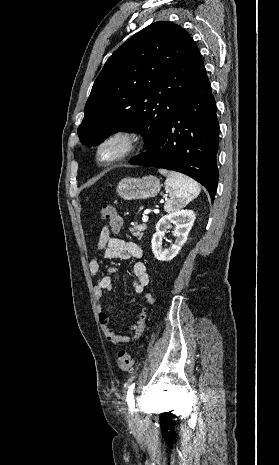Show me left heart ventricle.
Masks as SVG:
<instances>
[{
  "label": "left heart ventricle",
  "instance_id": "obj_1",
  "mask_svg": "<svg viewBox=\"0 0 279 465\" xmlns=\"http://www.w3.org/2000/svg\"><path fill=\"white\" fill-rule=\"evenodd\" d=\"M121 149V143L112 142L104 147L102 155L104 158H110L116 155Z\"/></svg>",
  "mask_w": 279,
  "mask_h": 465
}]
</instances>
